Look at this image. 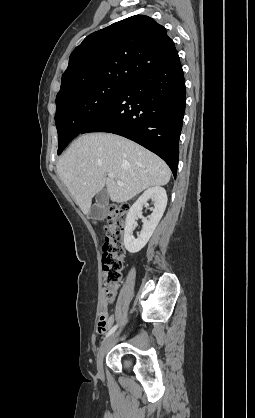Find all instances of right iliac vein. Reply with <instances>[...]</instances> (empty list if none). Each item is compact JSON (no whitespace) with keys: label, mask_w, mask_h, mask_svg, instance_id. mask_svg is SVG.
Masks as SVG:
<instances>
[{"label":"right iliac vein","mask_w":255,"mask_h":418,"mask_svg":"<svg viewBox=\"0 0 255 418\" xmlns=\"http://www.w3.org/2000/svg\"><path fill=\"white\" fill-rule=\"evenodd\" d=\"M116 334H113L111 336H109L107 339L104 340V342L101 344L99 351L97 353V358H96V362H97V369L98 372L100 374L103 373V360L105 357V354L107 353L111 343L113 342L114 338L116 337Z\"/></svg>","instance_id":"obj_1"}]
</instances>
